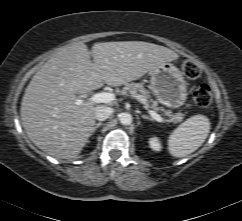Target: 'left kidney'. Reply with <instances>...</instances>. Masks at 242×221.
Returning a JSON list of instances; mask_svg holds the SVG:
<instances>
[{"instance_id": "5707ae66", "label": "left kidney", "mask_w": 242, "mask_h": 221, "mask_svg": "<svg viewBox=\"0 0 242 221\" xmlns=\"http://www.w3.org/2000/svg\"><path fill=\"white\" fill-rule=\"evenodd\" d=\"M149 143H150V147H151L153 150H155V151H160V149H161V144H160V142H159V140H158L157 137H153V138H151L150 141H149Z\"/></svg>"}]
</instances>
